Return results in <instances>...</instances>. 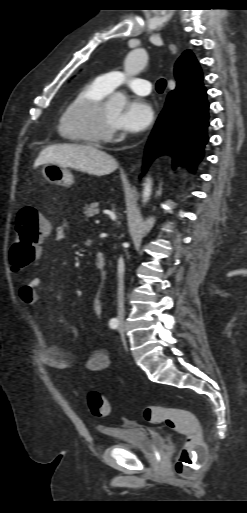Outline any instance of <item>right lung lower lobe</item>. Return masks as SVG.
Here are the masks:
<instances>
[{
	"label": "right lung lower lobe",
	"instance_id": "right-lung-lower-lobe-1",
	"mask_svg": "<svg viewBox=\"0 0 247 513\" xmlns=\"http://www.w3.org/2000/svg\"><path fill=\"white\" fill-rule=\"evenodd\" d=\"M203 84L190 91H172L166 100L145 150L144 170L161 154H172L174 165L194 170L208 140L209 102Z\"/></svg>",
	"mask_w": 247,
	"mask_h": 513
}]
</instances>
